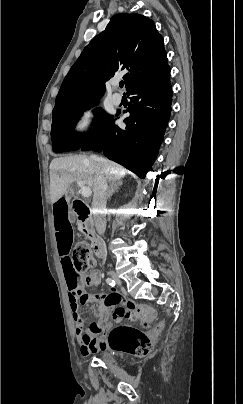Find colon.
I'll return each mask as SVG.
<instances>
[{"label": "colon", "mask_w": 243, "mask_h": 404, "mask_svg": "<svg viewBox=\"0 0 243 404\" xmlns=\"http://www.w3.org/2000/svg\"><path fill=\"white\" fill-rule=\"evenodd\" d=\"M95 258L85 242H79L75 245L72 254V269L76 276L74 286L86 283L93 272ZM107 345L114 351L134 353L138 356L146 355L152 347V338L139 329L119 325L113 328L109 334Z\"/></svg>", "instance_id": "colon-1"}]
</instances>
